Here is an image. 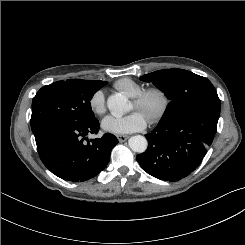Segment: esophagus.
<instances>
[{"instance_id":"obj_1","label":"esophagus","mask_w":245,"mask_h":245,"mask_svg":"<svg viewBox=\"0 0 245 245\" xmlns=\"http://www.w3.org/2000/svg\"><path fill=\"white\" fill-rule=\"evenodd\" d=\"M129 138L128 135H117V139L119 142H124Z\"/></svg>"}]
</instances>
